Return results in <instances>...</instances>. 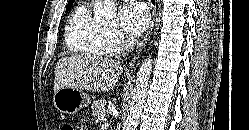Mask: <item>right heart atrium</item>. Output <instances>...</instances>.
<instances>
[{
    "instance_id": "obj_1",
    "label": "right heart atrium",
    "mask_w": 249,
    "mask_h": 130,
    "mask_svg": "<svg viewBox=\"0 0 249 130\" xmlns=\"http://www.w3.org/2000/svg\"><path fill=\"white\" fill-rule=\"evenodd\" d=\"M106 38L111 53H118L129 45V40L118 29H107Z\"/></svg>"
}]
</instances>
